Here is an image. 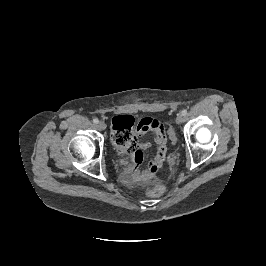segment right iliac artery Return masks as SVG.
<instances>
[{
	"instance_id": "right-iliac-artery-1",
	"label": "right iliac artery",
	"mask_w": 266,
	"mask_h": 266,
	"mask_svg": "<svg viewBox=\"0 0 266 266\" xmlns=\"http://www.w3.org/2000/svg\"><path fill=\"white\" fill-rule=\"evenodd\" d=\"M99 120L97 118L93 119V123L98 124Z\"/></svg>"
}]
</instances>
